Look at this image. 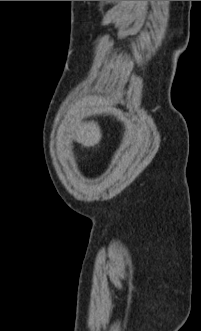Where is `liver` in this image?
I'll list each match as a JSON object with an SVG mask.
<instances>
[{
  "mask_svg": "<svg viewBox=\"0 0 201 331\" xmlns=\"http://www.w3.org/2000/svg\"><path fill=\"white\" fill-rule=\"evenodd\" d=\"M65 129L71 138L84 147L95 146L102 138L101 129L96 122L80 123L68 116L65 120Z\"/></svg>",
  "mask_w": 201,
  "mask_h": 331,
  "instance_id": "1",
  "label": "liver"
}]
</instances>
